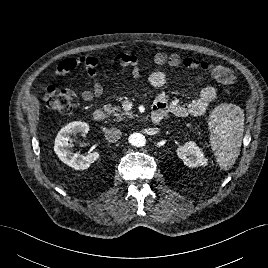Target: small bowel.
<instances>
[{
  "label": "small bowel",
  "instance_id": "c3829d8e",
  "mask_svg": "<svg viewBox=\"0 0 268 268\" xmlns=\"http://www.w3.org/2000/svg\"><path fill=\"white\" fill-rule=\"evenodd\" d=\"M116 62L123 66H129L132 78L137 79L141 76V69L138 65V57L136 55L119 54L116 56ZM79 66L86 69L94 82L92 89L84 90L82 92L83 100L89 102L103 96L104 86L99 80V59L96 56H78L64 59L58 64L55 73L57 75H64ZM148 81L153 87L160 89L168 83L169 77L165 72L156 70L149 75ZM54 89L55 86L53 85L48 87V91H53ZM46 94L43 96L45 97ZM216 97L217 91L212 86L202 87L199 90L197 97L187 104H184L177 99L169 100L164 93L160 92L156 97L153 113L161 112L163 115L173 113L179 117H187L190 115L201 116L207 112Z\"/></svg>",
  "mask_w": 268,
  "mask_h": 268
}]
</instances>
